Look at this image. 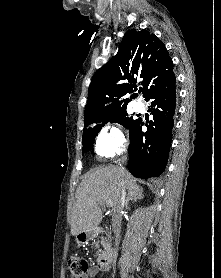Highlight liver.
Masks as SVG:
<instances>
[{
	"label": "liver",
	"instance_id": "1",
	"mask_svg": "<svg viewBox=\"0 0 221 278\" xmlns=\"http://www.w3.org/2000/svg\"><path fill=\"white\" fill-rule=\"evenodd\" d=\"M128 192L141 193L131 174L124 168L109 165L96 169L79 184L72 207L71 234L77 236L94 230L102 220L101 207L110 201L113 208L120 186Z\"/></svg>",
	"mask_w": 221,
	"mask_h": 278
}]
</instances>
